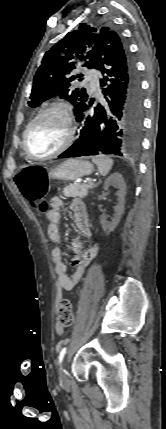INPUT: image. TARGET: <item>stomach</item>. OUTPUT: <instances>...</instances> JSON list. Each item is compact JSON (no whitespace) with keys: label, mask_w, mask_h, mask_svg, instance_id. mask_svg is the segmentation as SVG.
Instances as JSON below:
<instances>
[{"label":"stomach","mask_w":166,"mask_h":429,"mask_svg":"<svg viewBox=\"0 0 166 429\" xmlns=\"http://www.w3.org/2000/svg\"><path fill=\"white\" fill-rule=\"evenodd\" d=\"M94 171V166L89 161L79 159H69L51 169L49 178L74 181L83 176H87Z\"/></svg>","instance_id":"1"}]
</instances>
